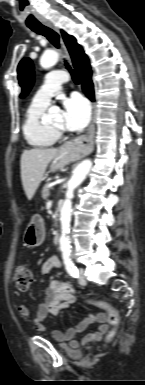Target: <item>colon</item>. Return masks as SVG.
<instances>
[{
  "label": "colon",
  "mask_w": 145,
  "mask_h": 385,
  "mask_svg": "<svg viewBox=\"0 0 145 385\" xmlns=\"http://www.w3.org/2000/svg\"><path fill=\"white\" fill-rule=\"evenodd\" d=\"M14 280H15L16 287L19 290L21 291L26 290L29 287L32 280L31 270L28 267L22 266V265L16 267L14 271ZM56 289L60 292L67 291L66 287L62 284H58L56 286ZM89 303L105 311L108 323L111 326V330L106 336V340H111L114 337L120 325V314L118 310L114 306L102 301H89Z\"/></svg>",
  "instance_id": "obj_1"
}]
</instances>
